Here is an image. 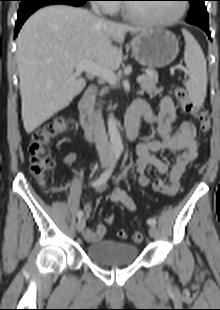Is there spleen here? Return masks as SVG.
<instances>
[{"label": "spleen", "mask_w": 220, "mask_h": 310, "mask_svg": "<svg viewBox=\"0 0 220 310\" xmlns=\"http://www.w3.org/2000/svg\"><path fill=\"white\" fill-rule=\"evenodd\" d=\"M185 38L184 61L189 71V79L185 82L190 99L201 105L206 97L207 71L203 51L195 38L186 30H182Z\"/></svg>", "instance_id": "spleen-1"}]
</instances>
